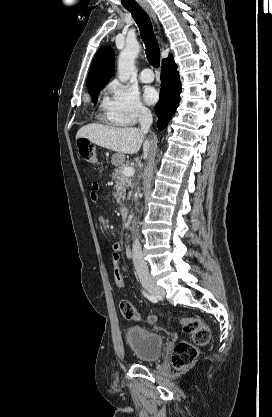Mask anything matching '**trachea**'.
<instances>
[{"label": "trachea", "instance_id": "trachea-1", "mask_svg": "<svg viewBox=\"0 0 272 417\" xmlns=\"http://www.w3.org/2000/svg\"><path fill=\"white\" fill-rule=\"evenodd\" d=\"M126 9L132 14L139 27L142 40L146 47V55L149 63L153 67H159L160 48L154 35L153 26L148 14L139 5L126 7Z\"/></svg>", "mask_w": 272, "mask_h": 417}]
</instances>
